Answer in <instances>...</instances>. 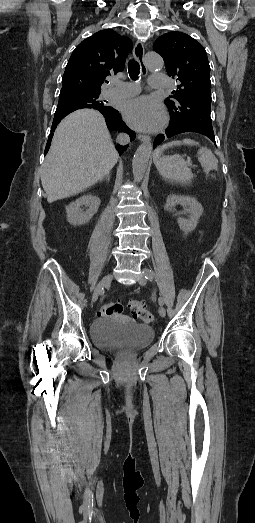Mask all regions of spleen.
I'll use <instances>...</instances> for the list:
<instances>
[{
    "label": "spleen",
    "mask_w": 255,
    "mask_h": 523,
    "mask_svg": "<svg viewBox=\"0 0 255 523\" xmlns=\"http://www.w3.org/2000/svg\"><path fill=\"white\" fill-rule=\"evenodd\" d=\"M182 144H186V146H199L198 142L189 140V138H185L182 142H169V144H164V146H160V148L155 150L153 162L160 176H163L165 180H171V182H177V184H182V186H188L194 174H192L182 156H179V154L162 156L164 150H167V148L182 146ZM198 162H200L205 174H209L210 170H217L218 168L216 156L212 154L211 150H207V148H203V146H199Z\"/></svg>",
    "instance_id": "1"
}]
</instances>
